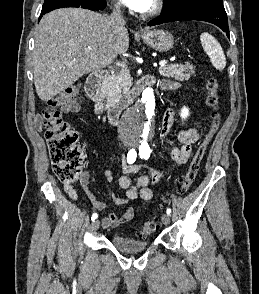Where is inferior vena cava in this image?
I'll return each instance as SVG.
<instances>
[{"label": "inferior vena cava", "instance_id": "1", "mask_svg": "<svg viewBox=\"0 0 259 294\" xmlns=\"http://www.w3.org/2000/svg\"><path fill=\"white\" fill-rule=\"evenodd\" d=\"M109 25L114 31H121L124 29L125 20L118 5H115L111 15L108 18Z\"/></svg>", "mask_w": 259, "mask_h": 294}]
</instances>
